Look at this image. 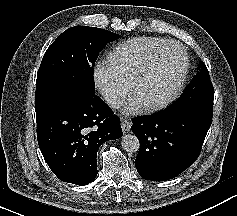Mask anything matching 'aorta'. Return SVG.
<instances>
[{"label": "aorta", "instance_id": "obj_1", "mask_svg": "<svg viewBox=\"0 0 237 216\" xmlns=\"http://www.w3.org/2000/svg\"><path fill=\"white\" fill-rule=\"evenodd\" d=\"M122 149L128 153H138L140 151V141L132 134H125L121 139Z\"/></svg>", "mask_w": 237, "mask_h": 216}]
</instances>
